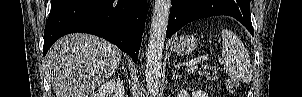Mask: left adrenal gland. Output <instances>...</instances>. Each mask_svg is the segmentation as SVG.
<instances>
[{
	"label": "left adrenal gland",
	"mask_w": 302,
	"mask_h": 97,
	"mask_svg": "<svg viewBox=\"0 0 302 97\" xmlns=\"http://www.w3.org/2000/svg\"><path fill=\"white\" fill-rule=\"evenodd\" d=\"M178 77L181 76L172 68V80L178 79Z\"/></svg>",
	"instance_id": "a2214340"
}]
</instances>
